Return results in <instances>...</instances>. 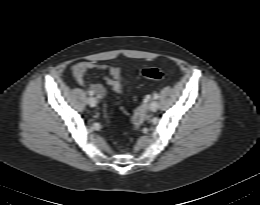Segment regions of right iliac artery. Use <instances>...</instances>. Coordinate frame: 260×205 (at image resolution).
Listing matches in <instances>:
<instances>
[{
	"instance_id": "1",
	"label": "right iliac artery",
	"mask_w": 260,
	"mask_h": 205,
	"mask_svg": "<svg viewBox=\"0 0 260 205\" xmlns=\"http://www.w3.org/2000/svg\"><path fill=\"white\" fill-rule=\"evenodd\" d=\"M89 95H93V92L92 91H88Z\"/></svg>"
}]
</instances>
